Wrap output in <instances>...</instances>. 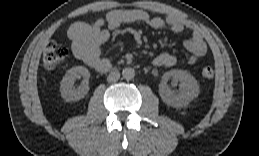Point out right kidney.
<instances>
[{
    "label": "right kidney",
    "mask_w": 259,
    "mask_h": 156,
    "mask_svg": "<svg viewBox=\"0 0 259 156\" xmlns=\"http://www.w3.org/2000/svg\"><path fill=\"white\" fill-rule=\"evenodd\" d=\"M81 77H83L82 83L76 88L74 83ZM89 78L90 72L83 66H75L69 69L61 81L60 91L62 98L68 102H74L84 98L90 89Z\"/></svg>",
    "instance_id": "right-kidney-1"
}]
</instances>
